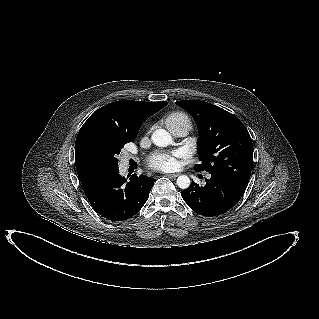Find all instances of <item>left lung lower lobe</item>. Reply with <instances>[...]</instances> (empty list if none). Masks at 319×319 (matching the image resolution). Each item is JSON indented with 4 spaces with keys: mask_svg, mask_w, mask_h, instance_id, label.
<instances>
[{
    "mask_svg": "<svg viewBox=\"0 0 319 319\" xmlns=\"http://www.w3.org/2000/svg\"><path fill=\"white\" fill-rule=\"evenodd\" d=\"M247 188L235 179L220 174H211L206 185L200 187L193 182L181 192L183 200L196 213L213 217L232 209Z\"/></svg>",
    "mask_w": 319,
    "mask_h": 319,
    "instance_id": "1",
    "label": "left lung lower lobe"
}]
</instances>
